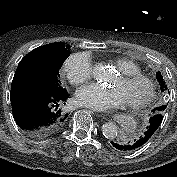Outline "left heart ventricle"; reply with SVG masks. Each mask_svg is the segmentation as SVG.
Masks as SVG:
<instances>
[{
  "label": "left heart ventricle",
  "instance_id": "obj_1",
  "mask_svg": "<svg viewBox=\"0 0 177 177\" xmlns=\"http://www.w3.org/2000/svg\"><path fill=\"white\" fill-rule=\"evenodd\" d=\"M112 87L121 92L125 103L140 100L147 93V86L143 82H125L119 76L113 81Z\"/></svg>",
  "mask_w": 177,
  "mask_h": 177
}]
</instances>
